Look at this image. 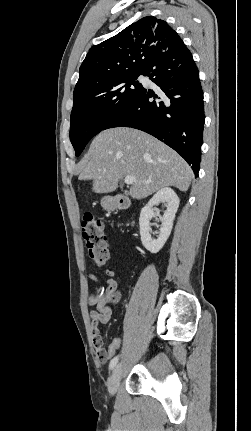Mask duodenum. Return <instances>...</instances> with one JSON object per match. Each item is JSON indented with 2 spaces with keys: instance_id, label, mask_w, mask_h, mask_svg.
I'll use <instances>...</instances> for the list:
<instances>
[{
  "instance_id": "duodenum-1",
  "label": "duodenum",
  "mask_w": 251,
  "mask_h": 431,
  "mask_svg": "<svg viewBox=\"0 0 251 431\" xmlns=\"http://www.w3.org/2000/svg\"><path fill=\"white\" fill-rule=\"evenodd\" d=\"M129 205L130 203L128 199L123 196L116 197L115 200L113 201V206L118 209H126L129 207Z\"/></svg>"
}]
</instances>
